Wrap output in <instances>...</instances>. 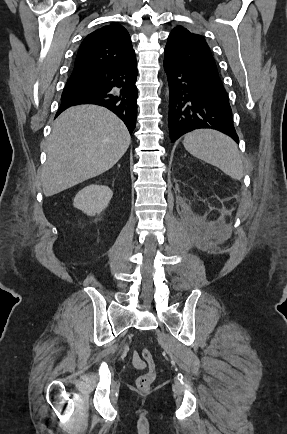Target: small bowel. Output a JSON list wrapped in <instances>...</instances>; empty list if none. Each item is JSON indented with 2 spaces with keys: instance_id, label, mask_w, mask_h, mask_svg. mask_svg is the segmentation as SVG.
Here are the masks:
<instances>
[{
  "instance_id": "small-bowel-1",
  "label": "small bowel",
  "mask_w": 287,
  "mask_h": 434,
  "mask_svg": "<svg viewBox=\"0 0 287 434\" xmlns=\"http://www.w3.org/2000/svg\"><path fill=\"white\" fill-rule=\"evenodd\" d=\"M134 363L140 369L144 368L145 366L144 363L137 356H135Z\"/></svg>"
}]
</instances>
